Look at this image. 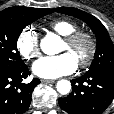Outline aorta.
Here are the masks:
<instances>
[{
  "label": "aorta",
  "instance_id": "obj_1",
  "mask_svg": "<svg viewBox=\"0 0 114 114\" xmlns=\"http://www.w3.org/2000/svg\"><path fill=\"white\" fill-rule=\"evenodd\" d=\"M59 41L60 38L56 35L45 36L40 43L42 51L48 55H53L57 53L56 46L59 43ZM56 88L60 94L66 95L71 90V83L68 80L63 79L57 82Z\"/></svg>",
  "mask_w": 114,
  "mask_h": 114
}]
</instances>
